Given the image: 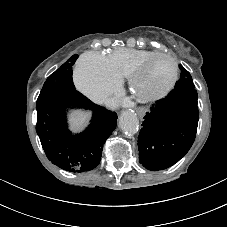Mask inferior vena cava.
<instances>
[{"label": "inferior vena cava", "instance_id": "inferior-vena-cava-1", "mask_svg": "<svg viewBox=\"0 0 227 227\" xmlns=\"http://www.w3.org/2000/svg\"><path fill=\"white\" fill-rule=\"evenodd\" d=\"M106 98L107 96L100 92H97L91 96L92 101L96 103H103L106 100Z\"/></svg>", "mask_w": 227, "mask_h": 227}]
</instances>
